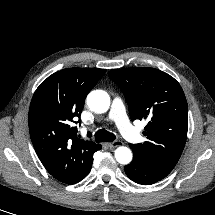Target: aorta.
Returning <instances> with one entry per match:
<instances>
[{
    "label": "aorta",
    "mask_w": 215,
    "mask_h": 215,
    "mask_svg": "<svg viewBox=\"0 0 215 215\" xmlns=\"http://www.w3.org/2000/svg\"><path fill=\"white\" fill-rule=\"evenodd\" d=\"M89 108L96 113H104L109 109L110 97L102 90H94L87 96ZM115 158L120 164H129L132 160V152L127 147H118L115 150Z\"/></svg>",
    "instance_id": "1"
}]
</instances>
